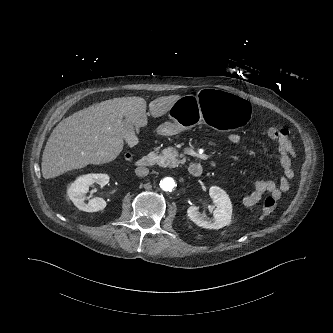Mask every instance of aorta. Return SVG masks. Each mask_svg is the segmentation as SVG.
<instances>
[{
  "instance_id": "762f6f07",
  "label": "aorta",
  "mask_w": 333,
  "mask_h": 333,
  "mask_svg": "<svg viewBox=\"0 0 333 333\" xmlns=\"http://www.w3.org/2000/svg\"><path fill=\"white\" fill-rule=\"evenodd\" d=\"M160 186L164 191H172L175 188L176 183L173 178L166 177L163 180H161Z\"/></svg>"
}]
</instances>
